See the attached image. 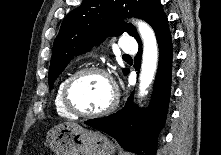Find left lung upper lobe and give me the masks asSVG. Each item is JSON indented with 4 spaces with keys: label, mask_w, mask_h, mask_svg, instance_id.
Instances as JSON below:
<instances>
[{
    "label": "left lung upper lobe",
    "mask_w": 221,
    "mask_h": 155,
    "mask_svg": "<svg viewBox=\"0 0 221 155\" xmlns=\"http://www.w3.org/2000/svg\"><path fill=\"white\" fill-rule=\"evenodd\" d=\"M159 4L158 0H84L64 18L54 41L48 75L49 89L75 55L100 44L107 36L127 32L137 39L139 36L135 27L120 20L135 16L148 21ZM128 71L123 69L124 74Z\"/></svg>",
    "instance_id": "1"
}]
</instances>
